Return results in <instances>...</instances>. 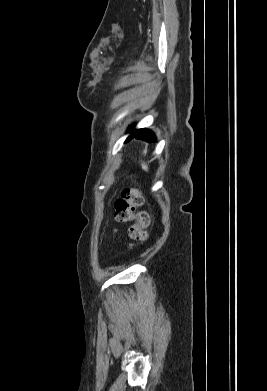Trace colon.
I'll return each instance as SVG.
<instances>
[{
	"mask_svg": "<svg viewBox=\"0 0 267 391\" xmlns=\"http://www.w3.org/2000/svg\"><path fill=\"white\" fill-rule=\"evenodd\" d=\"M144 202L141 190L125 188L114 203V218L117 222L134 221L128 228V236L138 242L144 243L148 238L150 216L146 211L138 210Z\"/></svg>",
	"mask_w": 267,
	"mask_h": 391,
	"instance_id": "obj_1",
	"label": "colon"
}]
</instances>
